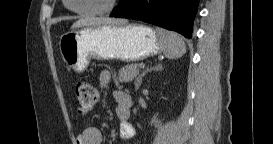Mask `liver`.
<instances>
[{
    "mask_svg": "<svg viewBox=\"0 0 273 144\" xmlns=\"http://www.w3.org/2000/svg\"><path fill=\"white\" fill-rule=\"evenodd\" d=\"M126 25L127 21L124 19H113V18H80L78 21L73 23L71 29H76L85 26H100V25Z\"/></svg>",
    "mask_w": 273,
    "mask_h": 144,
    "instance_id": "1",
    "label": "liver"
}]
</instances>
